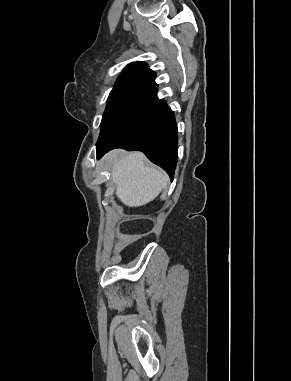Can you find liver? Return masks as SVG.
<instances>
[{"label":"liver","instance_id":"1","mask_svg":"<svg viewBox=\"0 0 291 381\" xmlns=\"http://www.w3.org/2000/svg\"><path fill=\"white\" fill-rule=\"evenodd\" d=\"M106 161L112 164L116 195L126 206L145 205L167 186L168 176L146 165L141 152L124 154L121 150H114L107 155Z\"/></svg>","mask_w":291,"mask_h":381}]
</instances>
